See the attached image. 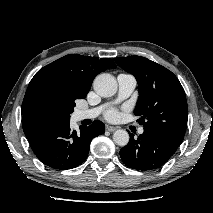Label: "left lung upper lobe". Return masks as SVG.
<instances>
[{"label": "left lung upper lobe", "mask_w": 213, "mask_h": 213, "mask_svg": "<svg viewBox=\"0 0 213 213\" xmlns=\"http://www.w3.org/2000/svg\"><path fill=\"white\" fill-rule=\"evenodd\" d=\"M137 80L139 99L134 114L145 129L173 134L183 139L188 119L185 91L167 68L142 56L114 58Z\"/></svg>", "instance_id": "5c2ea615"}]
</instances>
